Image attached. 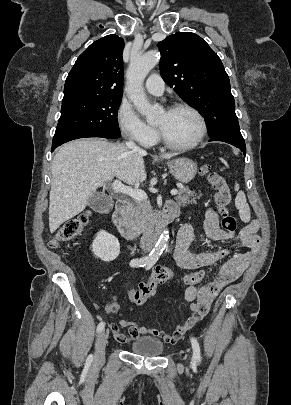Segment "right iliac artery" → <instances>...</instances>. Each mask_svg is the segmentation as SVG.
Returning a JSON list of instances; mask_svg holds the SVG:
<instances>
[{"mask_svg": "<svg viewBox=\"0 0 291 405\" xmlns=\"http://www.w3.org/2000/svg\"><path fill=\"white\" fill-rule=\"evenodd\" d=\"M150 261L148 259H133L130 261V266L131 267H144L146 266ZM105 327L104 322H100L97 326V333H100ZM88 361H92V355L88 357Z\"/></svg>", "mask_w": 291, "mask_h": 405, "instance_id": "82829eb1", "label": "right iliac artery"}]
</instances>
